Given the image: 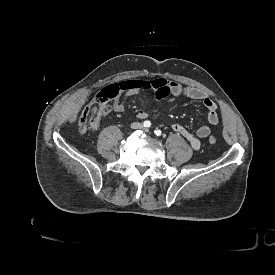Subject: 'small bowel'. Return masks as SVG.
Returning a JSON list of instances; mask_svg holds the SVG:
<instances>
[{
	"mask_svg": "<svg viewBox=\"0 0 275 275\" xmlns=\"http://www.w3.org/2000/svg\"><path fill=\"white\" fill-rule=\"evenodd\" d=\"M121 84L123 85L122 91L124 94L122 97L115 98L111 106V109L117 113L124 111L125 102L130 97L146 90L153 91V101L157 105L173 100L174 98H187L202 102L207 111L206 119L208 124L198 127L195 133L191 132L186 126L179 122H173L171 124V129L175 133L186 138L194 149H199L201 144L200 139L207 138L210 135L211 126H215L219 123V113L216 102L197 87L186 86L165 78H156L153 80H128ZM159 110L160 108L158 107L156 111ZM148 115L146 110H139L137 113V117L141 120L146 119ZM90 127L93 130H97L100 127L99 120H93L90 123Z\"/></svg>",
	"mask_w": 275,
	"mask_h": 275,
	"instance_id": "obj_1",
	"label": "small bowel"
}]
</instances>
